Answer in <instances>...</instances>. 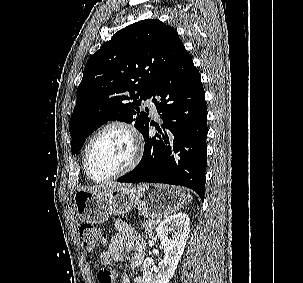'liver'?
<instances>
[{
    "instance_id": "6515ba94",
    "label": "liver",
    "mask_w": 303,
    "mask_h": 283,
    "mask_svg": "<svg viewBox=\"0 0 303 283\" xmlns=\"http://www.w3.org/2000/svg\"><path fill=\"white\" fill-rule=\"evenodd\" d=\"M123 186H127V185L112 182V183H108V184H103L101 186L91 187V188H88V189H85V190L89 191L91 193H94V194H101V193H103L107 190L114 189V188H117V187H123Z\"/></svg>"
}]
</instances>
